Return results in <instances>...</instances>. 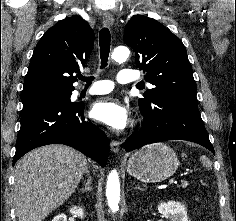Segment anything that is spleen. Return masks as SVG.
Segmentation results:
<instances>
[{"label":"spleen","instance_id":"3e777b00","mask_svg":"<svg viewBox=\"0 0 236 221\" xmlns=\"http://www.w3.org/2000/svg\"><path fill=\"white\" fill-rule=\"evenodd\" d=\"M200 160L202 161V163L204 164V166H206V168L210 169L212 166V163L210 162V160L206 157V156H202L200 158Z\"/></svg>","mask_w":236,"mask_h":221}]
</instances>
